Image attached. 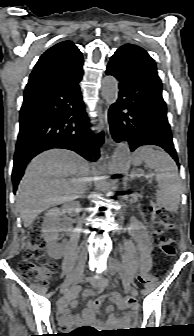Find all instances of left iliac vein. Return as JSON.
<instances>
[{"label":"left iliac vein","mask_w":194,"mask_h":336,"mask_svg":"<svg viewBox=\"0 0 194 336\" xmlns=\"http://www.w3.org/2000/svg\"><path fill=\"white\" fill-rule=\"evenodd\" d=\"M107 264H108V271L111 274H116L120 271L121 265L116 259L109 257ZM129 292L133 297L138 296V290L135 287L129 286Z\"/></svg>","instance_id":"obj_1"}]
</instances>
